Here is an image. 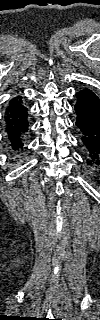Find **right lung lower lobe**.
<instances>
[{
  "instance_id": "1",
  "label": "right lung lower lobe",
  "mask_w": 100,
  "mask_h": 320,
  "mask_svg": "<svg viewBox=\"0 0 100 320\" xmlns=\"http://www.w3.org/2000/svg\"><path fill=\"white\" fill-rule=\"evenodd\" d=\"M28 112L20 96L12 99L6 108L5 124L7 137L13 150L23 148L28 132Z\"/></svg>"
}]
</instances>
